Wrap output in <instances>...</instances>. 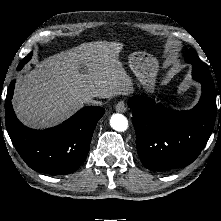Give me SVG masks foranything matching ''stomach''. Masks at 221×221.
<instances>
[{
	"label": "stomach",
	"mask_w": 221,
	"mask_h": 221,
	"mask_svg": "<svg viewBox=\"0 0 221 221\" xmlns=\"http://www.w3.org/2000/svg\"><path fill=\"white\" fill-rule=\"evenodd\" d=\"M129 67L147 93H154L158 60L146 52H134L128 59Z\"/></svg>",
	"instance_id": "stomach-1"
}]
</instances>
